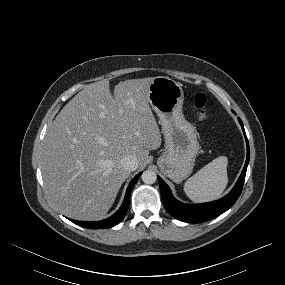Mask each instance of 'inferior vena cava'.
<instances>
[{
    "mask_svg": "<svg viewBox=\"0 0 285 285\" xmlns=\"http://www.w3.org/2000/svg\"><path fill=\"white\" fill-rule=\"evenodd\" d=\"M121 164L125 169H127L129 171H135L138 168V160L133 155L125 156L121 160Z\"/></svg>",
    "mask_w": 285,
    "mask_h": 285,
    "instance_id": "1",
    "label": "inferior vena cava"
}]
</instances>
